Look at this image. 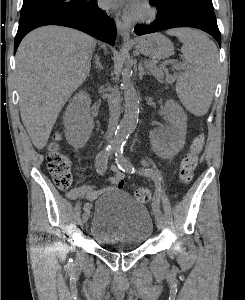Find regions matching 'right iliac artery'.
<instances>
[{
  "label": "right iliac artery",
  "mask_w": 245,
  "mask_h": 300,
  "mask_svg": "<svg viewBox=\"0 0 245 300\" xmlns=\"http://www.w3.org/2000/svg\"><path fill=\"white\" fill-rule=\"evenodd\" d=\"M115 150V147L109 145L105 149H103L96 158V170L99 174L103 175L107 169L108 158ZM91 208L90 203H86L84 205V210Z\"/></svg>",
  "instance_id": "1"
}]
</instances>
